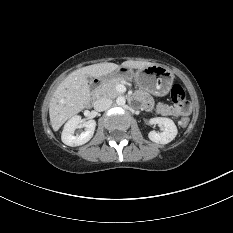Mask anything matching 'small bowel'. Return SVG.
Masks as SVG:
<instances>
[{"mask_svg":"<svg viewBox=\"0 0 233 233\" xmlns=\"http://www.w3.org/2000/svg\"><path fill=\"white\" fill-rule=\"evenodd\" d=\"M137 97L138 100L142 102L145 108L151 107V100L144 93H139ZM156 110L159 114L164 116L181 117L189 113L190 107L188 104H186L185 106H169L166 104H159L156 107Z\"/></svg>","mask_w":233,"mask_h":233,"instance_id":"c3829d8e","label":"small bowel"}]
</instances>
